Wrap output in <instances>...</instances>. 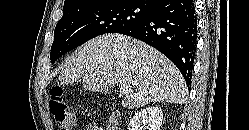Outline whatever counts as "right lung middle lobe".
Returning <instances> with one entry per match:
<instances>
[{
    "label": "right lung middle lobe",
    "instance_id": "dd1d6c3e",
    "mask_svg": "<svg viewBox=\"0 0 249 130\" xmlns=\"http://www.w3.org/2000/svg\"><path fill=\"white\" fill-rule=\"evenodd\" d=\"M151 9L149 4L134 0H109L63 12L54 31L51 62L96 36L119 33L141 22Z\"/></svg>",
    "mask_w": 249,
    "mask_h": 130
}]
</instances>
